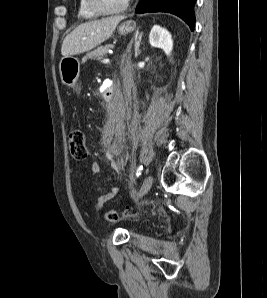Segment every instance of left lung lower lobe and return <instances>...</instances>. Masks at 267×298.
Here are the masks:
<instances>
[{
	"label": "left lung lower lobe",
	"instance_id": "obj_1",
	"mask_svg": "<svg viewBox=\"0 0 267 298\" xmlns=\"http://www.w3.org/2000/svg\"><path fill=\"white\" fill-rule=\"evenodd\" d=\"M196 0H140L136 13L169 12L182 18L194 30Z\"/></svg>",
	"mask_w": 267,
	"mask_h": 298
}]
</instances>
